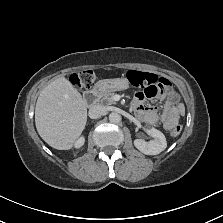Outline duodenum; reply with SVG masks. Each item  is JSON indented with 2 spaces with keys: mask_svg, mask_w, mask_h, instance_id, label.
<instances>
[{
  "mask_svg": "<svg viewBox=\"0 0 223 223\" xmlns=\"http://www.w3.org/2000/svg\"><path fill=\"white\" fill-rule=\"evenodd\" d=\"M103 93V84L97 83L91 90L84 93V102L87 105H93L98 97Z\"/></svg>",
  "mask_w": 223,
  "mask_h": 223,
  "instance_id": "obj_1",
  "label": "duodenum"
}]
</instances>
